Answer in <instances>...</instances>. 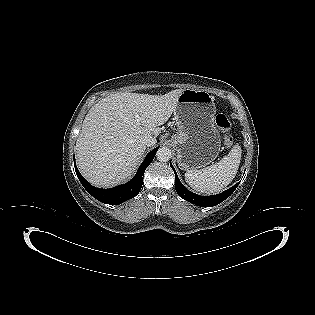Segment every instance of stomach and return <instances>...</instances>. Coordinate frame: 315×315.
Returning a JSON list of instances; mask_svg holds the SVG:
<instances>
[{
	"instance_id": "obj_1",
	"label": "stomach",
	"mask_w": 315,
	"mask_h": 315,
	"mask_svg": "<svg viewBox=\"0 0 315 315\" xmlns=\"http://www.w3.org/2000/svg\"><path fill=\"white\" fill-rule=\"evenodd\" d=\"M214 97L204 90L185 89L178 97L174 111L178 132L171 138L182 170L205 167L221 150L215 125Z\"/></svg>"
}]
</instances>
